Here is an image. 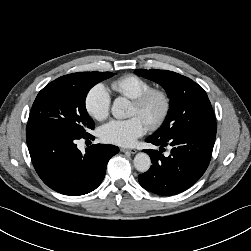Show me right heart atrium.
I'll return each instance as SVG.
<instances>
[{"label":"right heart atrium","instance_id":"1","mask_svg":"<svg viewBox=\"0 0 251 251\" xmlns=\"http://www.w3.org/2000/svg\"><path fill=\"white\" fill-rule=\"evenodd\" d=\"M85 109L90 117L101 121L107 118L110 111L111 98L102 84L93 86L86 94Z\"/></svg>","mask_w":251,"mask_h":251}]
</instances>
